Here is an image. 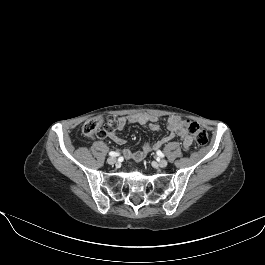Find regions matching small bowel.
<instances>
[{
    "mask_svg": "<svg viewBox=\"0 0 265 265\" xmlns=\"http://www.w3.org/2000/svg\"><path fill=\"white\" fill-rule=\"evenodd\" d=\"M159 117L149 113H132L118 117L113 121V127L107 132V136L116 144L123 145L125 140L119 136V132L123 131L128 125L135 124L145 127L151 131L159 130ZM184 119L180 116L173 115L168 117L165 122L170 133L156 142H145L140 150L132 151L126 149L123 156L126 159L140 161L153 150L160 148L163 144L171 141L174 137H179L185 149H191L193 146V138L184 126Z\"/></svg>",
    "mask_w": 265,
    "mask_h": 265,
    "instance_id": "1",
    "label": "small bowel"
}]
</instances>
